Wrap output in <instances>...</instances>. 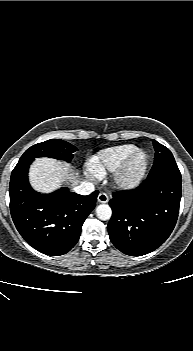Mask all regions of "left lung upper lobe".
Here are the masks:
<instances>
[{
  "label": "left lung upper lobe",
  "mask_w": 193,
  "mask_h": 351,
  "mask_svg": "<svg viewBox=\"0 0 193 351\" xmlns=\"http://www.w3.org/2000/svg\"><path fill=\"white\" fill-rule=\"evenodd\" d=\"M152 142L155 149V159L148 177L157 175L163 171L178 169L171 151L156 140H152Z\"/></svg>",
  "instance_id": "obj_1"
}]
</instances>
